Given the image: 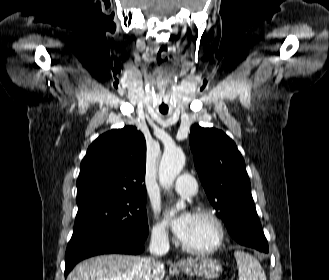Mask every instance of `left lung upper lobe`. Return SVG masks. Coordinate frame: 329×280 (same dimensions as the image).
Here are the masks:
<instances>
[{
	"label": "left lung upper lobe",
	"mask_w": 329,
	"mask_h": 280,
	"mask_svg": "<svg viewBox=\"0 0 329 280\" xmlns=\"http://www.w3.org/2000/svg\"><path fill=\"white\" fill-rule=\"evenodd\" d=\"M195 167L208 199L228 231L244 223L254 201L245 162L221 130L194 125L189 137Z\"/></svg>",
	"instance_id": "5c2ea615"
}]
</instances>
